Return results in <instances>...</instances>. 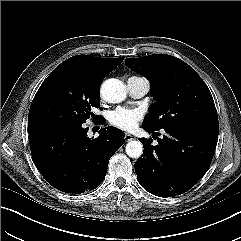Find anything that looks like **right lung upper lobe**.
<instances>
[{"mask_svg":"<svg viewBox=\"0 0 241 241\" xmlns=\"http://www.w3.org/2000/svg\"><path fill=\"white\" fill-rule=\"evenodd\" d=\"M124 58H97L88 55H77L65 60L76 71L79 79L85 84L100 88L103 79L113 71Z\"/></svg>","mask_w":241,"mask_h":241,"instance_id":"obj_1","label":"right lung upper lobe"}]
</instances>
